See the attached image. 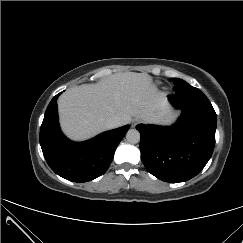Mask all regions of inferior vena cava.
<instances>
[{"mask_svg": "<svg viewBox=\"0 0 243 243\" xmlns=\"http://www.w3.org/2000/svg\"><path fill=\"white\" fill-rule=\"evenodd\" d=\"M121 121L118 117H110L106 120V126L111 129V128H116L120 126Z\"/></svg>", "mask_w": 243, "mask_h": 243, "instance_id": "obj_1", "label": "inferior vena cava"}]
</instances>
